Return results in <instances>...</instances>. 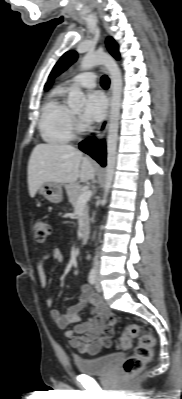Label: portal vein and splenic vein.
<instances>
[{"instance_id":"18ae733b","label":"portal vein and splenic vein","mask_w":182,"mask_h":399,"mask_svg":"<svg viewBox=\"0 0 182 399\" xmlns=\"http://www.w3.org/2000/svg\"><path fill=\"white\" fill-rule=\"evenodd\" d=\"M91 195H92L91 190H83V192L79 196L77 204L87 202L90 199Z\"/></svg>"}]
</instances>
